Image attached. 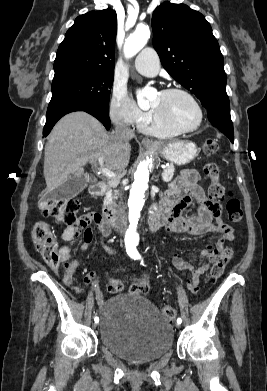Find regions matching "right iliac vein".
<instances>
[{
  "mask_svg": "<svg viewBox=\"0 0 267 391\" xmlns=\"http://www.w3.org/2000/svg\"><path fill=\"white\" fill-rule=\"evenodd\" d=\"M93 327L96 328V327H97V323H94V324H93Z\"/></svg>",
  "mask_w": 267,
  "mask_h": 391,
  "instance_id": "63e3f726",
  "label": "right iliac vein"
}]
</instances>
